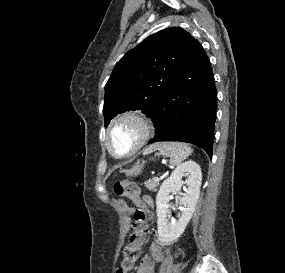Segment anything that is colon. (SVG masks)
<instances>
[{
	"label": "colon",
	"mask_w": 285,
	"mask_h": 273,
	"mask_svg": "<svg viewBox=\"0 0 285 273\" xmlns=\"http://www.w3.org/2000/svg\"><path fill=\"white\" fill-rule=\"evenodd\" d=\"M114 192L117 196L131 200V206L135 208L132 216L134 229L123 248L122 258L116 269V273H128L138 259L141 245L145 239L146 229L148 228V216H150V211H148L149 205L141 199L138 186L131 180L117 182L114 185Z\"/></svg>",
	"instance_id": "obj_1"
}]
</instances>
